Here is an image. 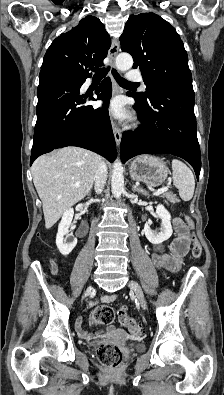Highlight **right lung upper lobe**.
I'll list each match as a JSON object with an SVG mask.
<instances>
[{"label": "right lung upper lobe", "mask_w": 224, "mask_h": 395, "mask_svg": "<svg viewBox=\"0 0 224 395\" xmlns=\"http://www.w3.org/2000/svg\"><path fill=\"white\" fill-rule=\"evenodd\" d=\"M111 46L105 26L94 16L57 37L48 48L41 69L55 68L73 77L91 76L89 69L102 66Z\"/></svg>", "instance_id": "obj_1"}]
</instances>
